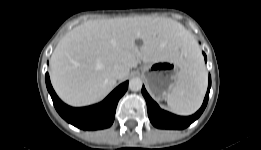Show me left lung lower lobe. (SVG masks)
<instances>
[{
  "instance_id": "obj_1",
  "label": "left lung lower lobe",
  "mask_w": 261,
  "mask_h": 150,
  "mask_svg": "<svg viewBox=\"0 0 261 150\" xmlns=\"http://www.w3.org/2000/svg\"><path fill=\"white\" fill-rule=\"evenodd\" d=\"M204 57H205V61H206L205 54H204ZM210 87H211V77L209 75L208 90H207L202 107L194 115L188 116V117H182V116H177V115H174L167 111L162 110L157 105V103L152 100V98L147 93L145 87L143 86L142 94L147 103L148 116H149L151 123L155 127L161 128V129H184V128L188 127L191 123H193L196 119H198L199 116L204 111V109L207 105V102H208Z\"/></svg>"
}]
</instances>
